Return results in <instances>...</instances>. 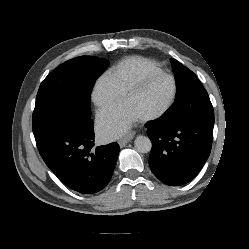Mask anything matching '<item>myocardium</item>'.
<instances>
[{
    "mask_svg": "<svg viewBox=\"0 0 249 249\" xmlns=\"http://www.w3.org/2000/svg\"><path fill=\"white\" fill-rule=\"evenodd\" d=\"M158 77H166V78L171 80V82H172L171 96H170L169 100L167 101V103L158 111L153 112V113L148 114V115H145V116H142V117H139L141 121L156 120V119L164 116L171 109V107L173 106V104L176 100V97H177V82H176L174 76L169 74V73H166L164 71L149 73V74H146V75L142 76L141 78H139L125 91L124 98L126 99L127 97L131 96L135 92L142 89L151 80L158 78Z\"/></svg>",
    "mask_w": 249,
    "mask_h": 249,
    "instance_id": "myocardium-1",
    "label": "myocardium"
}]
</instances>
